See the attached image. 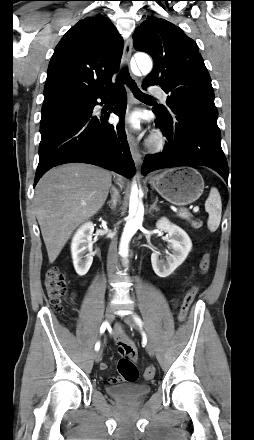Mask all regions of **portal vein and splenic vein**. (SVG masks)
<instances>
[{
    "instance_id": "obj_1",
    "label": "portal vein and splenic vein",
    "mask_w": 254,
    "mask_h": 440,
    "mask_svg": "<svg viewBox=\"0 0 254 440\" xmlns=\"http://www.w3.org/2000/svg\"><path fill=\"white\" fill-rule=\"evenodd\" d=\"M198 211H199V208H198V207H194V208H193V212H194V213H197Z\"/></svg>"
}]
</instances>
